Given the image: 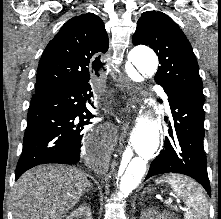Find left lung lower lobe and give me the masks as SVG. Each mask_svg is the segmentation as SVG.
Returning <instances> with one entry per match:
<instances>
[{"label": "left lung lower lobe", "instance_id": "left-lung-lower-lobe-1", "mask_svg": "<svg viewBox=\"0 0 221 219\" xmlns=\"http://www.w3.org/2000/svg\"><path fill=\"white\" fill-rule=\"evenodd\" d=\"M167 95L174 123L169 124V137L152 161L146 179L169 172L184 174L198 181L211 196L203 149V105L182 96Z\"/></svg>", "mask_w": 221, "mask_h": 219}]
</instances>
